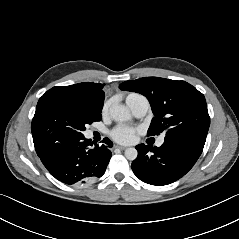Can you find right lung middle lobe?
Instances as JSON below:
<instances>
[{
  "mask_svg": "<svg viewBox=\"0 0 239 239\" xmlns=\"http://www.w3.org/2000/svg\"><path fill=\"white\" fill-rule=\"evenodd\" d=\"M102 104L90 97L52 88L38 101L31 131L35 150L67 135H82L86 124L102 119Z\"/></svg>",
  "mask_w": 239,
  "mask_h": 239,
  "instance_id": "1",
  "label": "right lung middle lobe"
}]
</instances>
